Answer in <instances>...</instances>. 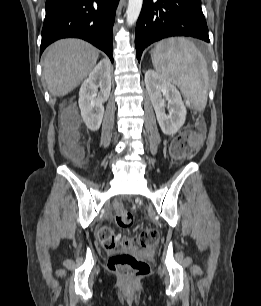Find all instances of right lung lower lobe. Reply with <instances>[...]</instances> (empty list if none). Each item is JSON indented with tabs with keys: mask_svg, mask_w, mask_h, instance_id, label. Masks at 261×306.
Returning <instances> with one entry per match:
<instances>
[{
	"mask_svg": "<svg viewBox=\"0 0 261 306\" xmlns=\"http://www.w3.org/2000/svg\"><path fill=\"white\" fill-rule=\"evenodd\" d=\"M119 0H46L41 50L67 37L84 39L104 51L111 61L113 24Z\"/></svg>",
	"mask_w": 261,
	"mask_h": 306,
	"instance_id": "98d812e1",
	"label": "right lung lower lobe"
}]
</instances>
